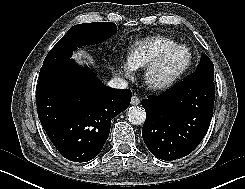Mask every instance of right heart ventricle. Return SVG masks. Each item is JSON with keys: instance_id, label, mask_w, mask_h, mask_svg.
<instances>
[{"instance_id": "e07e8e85", "label": "right heart ventricle", "mask_w": 245, "mask_h": 189, "mask_svg": "<svg viewBox=\"0 0 245 189\" xmlns=\"http://www.w3.org/2000/svg\"><path fill=\"white\" fill-rule=\"evenodd\" d=\"M176 42L166 36H151L135 41L128 48V61L134 69L153 61L164 49Z\"/></svg>"}]
</instances>
